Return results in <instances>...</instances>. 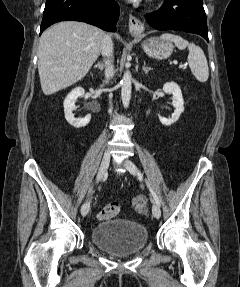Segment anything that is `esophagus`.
Instances as JSON below:
<instances>
[{
  "label": "esophagus",
  "instance_id": "esophagus-1",
  "mask_svg": "<svg viewBox=\"0 0 240 287\" xmlns=\"http://www.w3.org/2000/svg\"><path fill=\"white\" fill-rule=\"evenodd\" d=\"M129 31L133 36H138L144 31L141 20L133 15H129Z\"/></svg>",
  "mask_w": 240,
  "mask_h": 287
}]
</instances>
